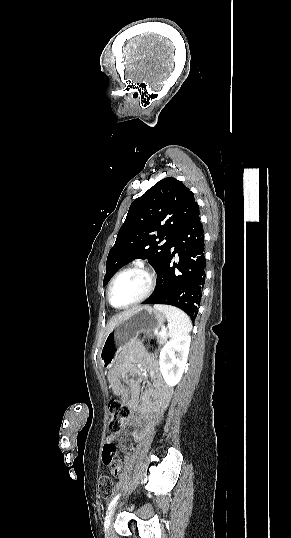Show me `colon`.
<instances>
[{"mask_svg": "<svg viewBox=\"0 0 291 538\" xmlns=\"http://www.w3.org/2000/svg\"><path fill=\"white\" fill-rule=\"evenodd\" d=\"M142 342L145 349L150 353H156L160 348V342L154 336H144ZM108 407L110 413L109 428L113 433H117L126 423L129 406L124 400L115 396L110 399ZM115 453V445L112 442H106L102 453V458L106 465L112 466L115 464ZM98 489L101 497H112L115 492V484L112 477L108 474L101 475L98 482Z\"/></svg>", "mask_w": 291, "mask_h": 538, "instance_id": "1", "label": "colon"}]
</instances>
